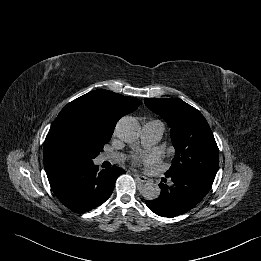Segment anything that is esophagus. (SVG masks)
<instances>
[{"label":"esophagus","instance_id":"obj_1","mask_svg":"<svg viewBox=\"0 0 261 261\" xmlns=\"http://www.w3.org/2000/svg\"><path fill=\"white\" fill-rule=\"evenodd\" d=\"M136 180H138L139 182L141 183H146V182H149L150 179L146 176H143V175H139V174H134Z\"/></svg>","mask_w":261,"mask_h":261}]
</instances>
